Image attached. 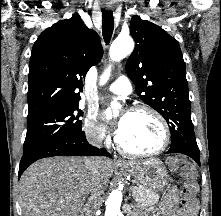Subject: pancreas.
Listing matches in <instances>:
<instances>
[{
    "instance_id": "1",
    "label": "pancreas",
    "mask_w": 221,
    "mask_h": 216,
    "mask_svg": "<svg viewBox=\"0 0 221 216\" xmlns=\"http://www.w3.org/2000/svg\"><path fill=\"white\" fill-rule=\"evenodd\" d=\"M133 198L141 207H150L158 202L159 195L156 191L145 187H133Z\"/></svg>"
}]
</instances>
